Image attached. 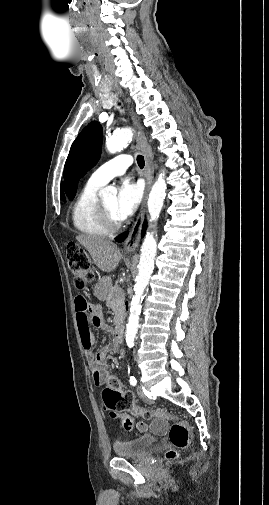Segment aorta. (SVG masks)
<instances>
[{"instance_id":"obj_1","label":"aorta","mask_w":269,"mask_h":505,"mask_svg":"<svg viewBox=\"0 0 269 505\" xmlns=\"http://www.w3.org/2000/svg\"><path fill=\"white\" fill-rule=\"evenodd\" d=\"M133 136V131L130 128L121 129L112 134L106 140V148L110 153H116L125 148ZM117 189L113 186H108L100 191V196L104 199L115 197ZM166 195L165 173L158 175L154 182L148 198V212L150 221L153 222L159 218ZM157 252V242L154 238V233H147L142 247L140 260L138 265V275L135 279L134 296L131 301L130 315L126 328V343L128 347H133L137 335L139 316L141 312V303L146 287L148 286L150 277L154 269V260Z\"/></svg>"}]
</instances>
